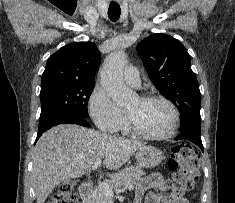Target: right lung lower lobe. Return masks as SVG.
I'll use <instances>...</instances> for the list:
<instances>
[{"label": "right lung lower lobe", "mask_w": 235, "mask_h": 203, "mask_svg": "<svg viewBox=\"0 0 235 203\" xmlns=\"http://www.w3.org/2000/svg\"><path fill=\"white\" fill-rule=\"evenodd\" d=\"M58 124H77L80 126L88 127L90 124L86 121L85 118L73 116V115H58L51 118H48L44 121L39 122V129L35 143L39 137L48 129Z\"/></svg>", "instance_id": "right-lung-lower-lobe-1"}]
</instances>
